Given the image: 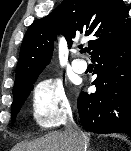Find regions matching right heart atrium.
Returning <instances> with one entry per match:
<instances>
[{
  "mask_svg": "<svg viewBox=\"0 0 131 151\" xmlns=\"http://www.w3.org/2000/svg\"><path fill=\"white\" fill-rule=\"evenodd\" d=\"M71 107L62 83L54 78L39 81L32 94V114L36 124L45 129L60 126Z\"/></svg>",
  "mask_w": 131,
  "mask_h": 151,
  "instance_id": "1",
  "label": "right heart atrium"
}]
</instances>
